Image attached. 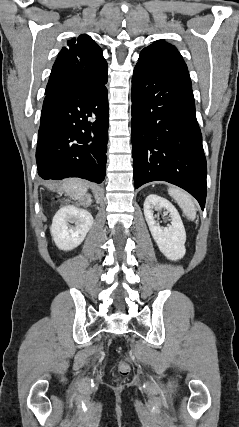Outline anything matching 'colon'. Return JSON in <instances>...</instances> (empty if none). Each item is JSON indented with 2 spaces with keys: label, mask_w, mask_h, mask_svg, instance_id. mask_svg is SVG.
Masks as SVG:
<instances>
[{
  "label": "colon",
  "mask_w": 239,
  "mask_h": 427,
  "mask_svg": "<svg viewBox=\"0 0 239 427\" xmlns=\"http://www.w3.org/2000/svg\"><path fill=\"white\" fill-rule=\"evenodd\" d=\"M116 369L120 377H125L129 373V366L125 362L119 363Z\"/></svg>",
  "instance_id": "colon-1"
}]
</instances>
